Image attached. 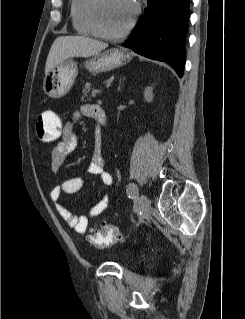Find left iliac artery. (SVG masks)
Segmentation results:
<instances>
[{
	"mask_svg": "<svg viewBox=\"0 0 245 319\" xmlns=\"http://www.w3.org/2000/svg\"><path fill=\"white\" fill-rule=\"evenodd\" d=\"M127 194L129 198L136 199L137 197V186L134 183L127 185Z\"/></svg>",
	"mask_w": 245,
	"mask_h": 319,
	"instance_id": "1",
	"label": "left iliac artery"
}]
</instances>
